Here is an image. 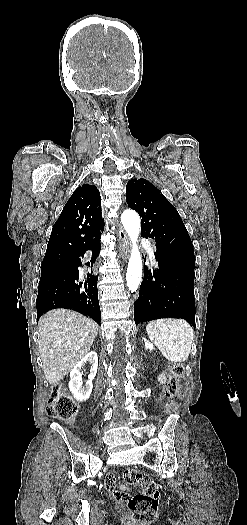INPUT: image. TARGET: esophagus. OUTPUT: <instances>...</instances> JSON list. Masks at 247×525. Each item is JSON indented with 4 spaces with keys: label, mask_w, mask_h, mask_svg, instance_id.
Wrapping results in <instances>:
<instances>
[{
    "label": "esophagus",
    "mask_w": 247,
    "mask_h": 525,
    "mask_svg": "<svg viewBox=\"0 0 247 525\" xmlns=\"http://www.w3.org/2000/svg\"><path fill=\"white\" fill-rule=\"evenodd\" d=\"M118 248L122 259L127 260L129 257V244L122 227H119L118 230Z\"/></svg>",
    "instance_id": "obj_1"
}]
</instances>
